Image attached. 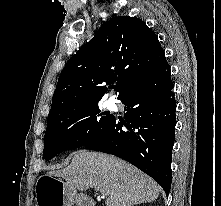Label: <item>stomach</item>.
Here are the masks:
<instances>
[{"instance_id": "obj_1", "label": "stomach", "mask_w": 221, "mask_h": 206, "mask_svg": "<svg viewBox=\"0 0 221 206\" xmlns=\"http://www.w3.org/2000/svg\"><path fill=\"white\" fill-rule=\"evenodd\" d=\"M40 184L46 186L45 191ZM79 197L73 187L52 175H44L38 181L36 206H72Z\"/></svg>"}]
</instances>
